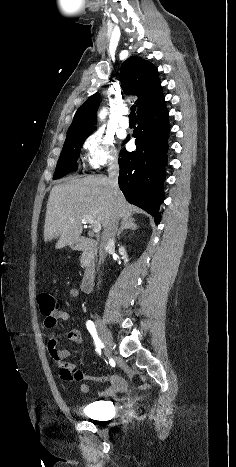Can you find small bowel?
<instances>
[{"mask_svg":"<svg viewBox=\"0 0 236 467\" xmlns=\"http://www.w3.org/2000/svg\"><path fill=\"white\" fill-rule=\"evenodd\" d=\"M70 298L76 299L79 295L78 289L70 287L68 290ZM69 307L70 304L66 299H62V307L51 316H46L44 320L45 327L53 329L56 326L58 320H68L69 318ZM67 338L71 342L80 343L81 333L79 330L72 329L67 333ZM48 350L53 361L59 367V373L62 380L66 382H82V381H96L101 383H108V387L98 392L99 397H110L124 390L125 380L115 374H106L102 376H91L84 373L82 370L77 368L72 363L66 361L69 356V351L66 349L58 348L57 339L54 334H51L48 340ZM80 390L83 393H88L91 387L87 383H83L80 386Z\"/></svg>","mask_w":236,"mask_h":467,"instance_id":"small-bowel-1","label":"small bowel"}]
</instances>
